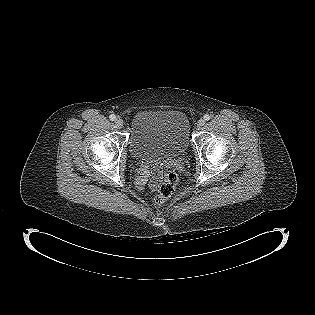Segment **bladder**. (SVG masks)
<instances>
[{
    "instance_id": "1",
    "label": "bladder",
    "mask_w": 315,
    "mask_h": 315,
    "mask_svg": "<svg viewBox=\"0 0 315 315\" xmlns=\"http://www.w3.org/2000/svg\"><path fill=\"white\" fill-rule=\"evenodd\" d=\"M190 143V123L180 110H142L131 121L129 150L144 162L164 161L183 155Z\"/></svg>"
}]
</instances>
